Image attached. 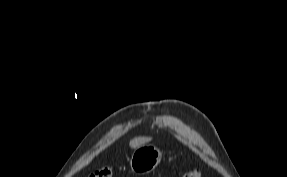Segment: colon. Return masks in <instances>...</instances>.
Masks as SVG:
<instances>
[{"label": "colon", "mask_w": 287, "mask_h": 177, "mask_svg": "<svg viewBox=\"0 0 287 177\" xmlns=\"http://www.w3.org/2000/svg\"><path fill=\"white\" fill-rule=\"evenodd\" d=\"M113 172L109 167H102L95 170L88 177H112ZM182 177H202V172L200 169L193 168L187 170Z\"/></svg>", "instance_id": "1"}]
</instances>
